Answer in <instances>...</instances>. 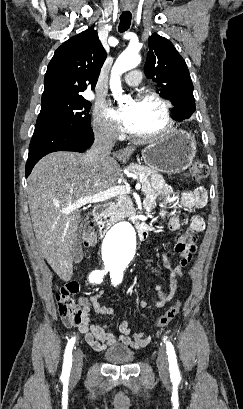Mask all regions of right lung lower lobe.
Returning a JSON list of instances; mask_svg holds the SVG:
<instances>
[{"mask_svg":"<svg viewBox=\"0 0 243 409\" xmlns=\"http://www.w3.org/2000/svg\"><path fill=\"white\" fill-rule=\"evenodd\" d=\"M93 141L94 135L91 128L78 131L49 125H37L29 147L26 177L34 165L48 153L56 151L84 152L92 145Z\"/></svg>","mask_w":243,"mask_h":409,"instance_id":"1","label":"right lung lower lobe"}]
</instances>
